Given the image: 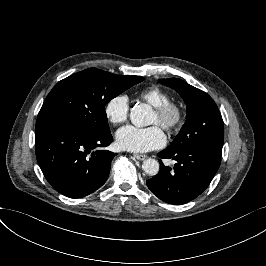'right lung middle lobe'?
I'll return each mask as SVG.
<instances>
[{
  "mask_svg": "<svg viewBox=\"0 0 266 266\" xmlns=\"http://www.w3.org/2000/svg\"><path fill=\"white\" fill-rule=\"evenodd\" d=\"M139 76H120L89 68L59 81L38 114L35 132L66 123L94 134L110 132L105 105L143 81Z\"/></svg>",
  "mask_w": 266,
  "mask_h": 266,
  "instance_id": "obj_1",
  "label": "right lung middle lobe"
}]
</instances>
